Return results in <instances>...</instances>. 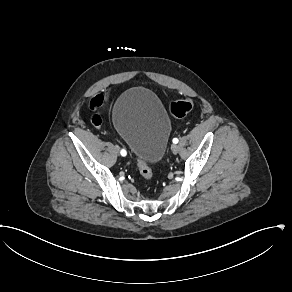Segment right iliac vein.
<instances>
[{"label":"right iliac vein","instance_id":"right-iliac-vein-1","mask_svg":"<svg viewBox=\"0 0 292 292\" xmlns=\"http://www.w3.org/2000/svg\"><path fill=\"white\" fill-rule=\"evenodd\" d=\"M114 149H115L116 153L119 152V147L118 146H115Z\"/></svg>","mask_w":292,"mask_h":292}]
</instances>
